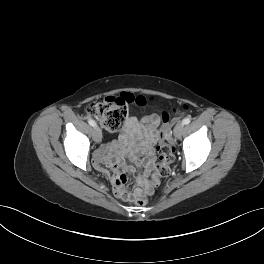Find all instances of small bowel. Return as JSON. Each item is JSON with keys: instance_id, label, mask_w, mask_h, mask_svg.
<instances>
[{"instance_id": "small-bowel-1", "label": "small bowel", "mask_w": 264, "mask_h": 264, "mask_svg": "<svg viewBox=\"0 0 264 264\" xmlns=\"http://www.w3.org/2000/svg\"><path fill=\"white\" fill-rule=\"evenodd\" d=\"M158 123L157 116L146 118L142 123H139L135 117H129L126 120L124 133L120 136L122 143L128 142V134H134L139 145L134 149L121 148L116 142L108 143L102 146L96 153L94 158L95 166L100 171H105L109 167L112 173V184L114 193L120 196L121 192L125 191L127 182V171L136 172L132 166L125 163V158H131L136 165L144 166V173L139 174L137 181H142L143 175L148 173L154 162L153 142H154V127ZM122 198V197H121Z\"/></svg>"}]
</instances>
